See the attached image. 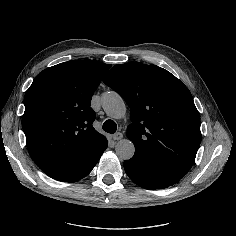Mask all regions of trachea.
<instances>
[{
	"label": "trachea",
	"instance_id": "obj_1",
	"mask_svg": "<svg viewBox=\"0 0 236 236\" xmlns=\"http://www.w3.org/2000/svg\"><path fill=\"white\" fill-rule=\"evenodd\" d=\"M102 128L104 131L114 134L117 130V124L113 120L108 119L104 122Z\"/></svg>",
	"mask_w": 236,
	"mask_h": 236
}]
</instances>
